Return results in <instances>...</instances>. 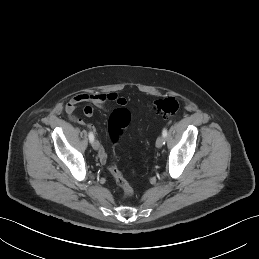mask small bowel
I'll return each mask as SVG.
<instances>
[{
    "label": "small bowel",
    "instance_id": "small-bowel-1",
    "mask_svg": "<svg viewBox=\"0 0 259 259\" xmlns=\"http://www.w3.org/2000/svg\"><path fill=\"white\" fill-rule=\"evenodd\" d=\"M82 102L90 103L99 108H104L107 103H114L121 107H125L127 105V100L115 92L79 93L70 100L67 105V111L69 113L73 112L75 106ZM84 114L86 116H92L93 108L91 106H86L84 108ZM98 158L102 163L107 160V153L102 146H99Z\"/></svg>",
    "mask_w": 259,
    "mask_h": 259
}]
</instances>
